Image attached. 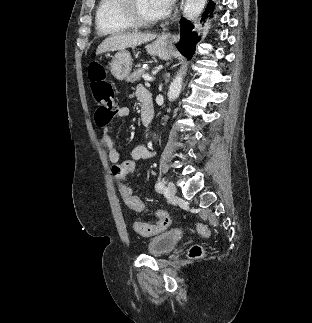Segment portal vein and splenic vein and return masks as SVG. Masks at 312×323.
<instances>
[{
  "mask_svg": "<svg viewBox=\"0 0 312 323\" xmlns=\"http://www.w3.org/2000/svg\"><path fill=\"white\" fill-rule=\"evenodd\" d=\"M143 78L146 80V82H153L154 80V78H150V76H147V74H144Z\"/></svg>",
  "mask_w": 312,
  "mask_h": 323,
  "instance_id": "1",
  "label": "portal vein and splenic vein"
}]
</instances>
